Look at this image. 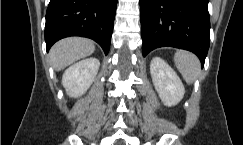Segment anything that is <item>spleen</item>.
I'll list each match as a JSON object with an SVG mask.
<instances>
[{
	"mask_svg": "<svg viewBox=\"0 0 243 145\" xmlns=\"http://www.w3.org/2000/svg\"><path fill=\"white\" fill-rule=\"evenodd\" d=\"M174 62L186 83L192 84L201 70L198 58L188 51L177 50Z\"/></svg>",
	"mask_w": 243,
	"mask_h": 145,
	"instance_id": "3e777b00",
	"label": "spleen"
}]
</instances>
